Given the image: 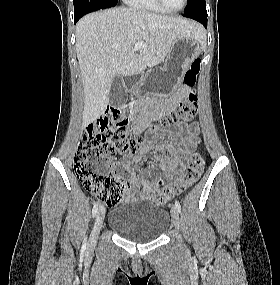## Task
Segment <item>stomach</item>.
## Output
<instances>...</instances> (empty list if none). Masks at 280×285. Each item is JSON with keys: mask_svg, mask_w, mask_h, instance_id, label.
Returning a JSON list of instances; mask_svg holds the SVG:
<instances>
[{"mask_svg": "<svg viewBox=\"0 0 280 285\" xmlns=\"http://www.w3.org/2000/svg\"><path fill=\"white\" fill-rule=\"evenodd\" d=\"M199 41L190 36L177 38L166 56L162 69V90L159 93L161 100L169 98L182 83V77L190 63L200 55ZM155 75H145L134 83L130 90L138 94L143 87L156 83Z\"/></svg>", "mask_w": 280, "mask_h": 285, "instance_id": "0dacf381", "label": "stomach"}]
</instances>
